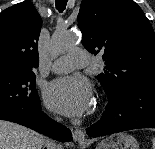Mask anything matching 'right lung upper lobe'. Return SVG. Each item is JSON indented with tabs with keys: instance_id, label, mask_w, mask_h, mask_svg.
I'll list each match as a JSON object with an SVG mask.
<instances>
[{
	"instance_id": "right-lung-upper-lobe-1",
	"label": "right lung upper lobe",
	"mask_w": 155,
	"mask_h": 149,
	"mask_svg": "<svg viewBox=\"0 0 155 149\" xmlns=\"http://www.w3.org/2000/svg\"><path fill=\"white\" fill-rule=\"evenodd\" d=\"M41 25L40 15L28 0L0 13V69L35 71Z\"/></svg>"
}]
</instances>
